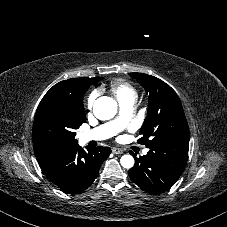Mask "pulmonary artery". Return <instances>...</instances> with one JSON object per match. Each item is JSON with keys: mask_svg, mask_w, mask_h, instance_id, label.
I'll list each match as a JSON object with an SVG mask.
<instances>
[{"mask_svg": "<svg viewBox=\"0 0 227 227\" xmlns=\"http://www.w3.org/2000/svg\"><path fill=\"white\" fill-rule=\"evenodd\" d=\"M120 106L121 113L115 120L101 125L95 129L83 132L80 135V141L82 143H87L93 140H105L120 132L125 127V125H127L131 121L133 117L134 100L125 101L121 103ZM146 153V150L143 151V154Z\"/></svg>", "mask_w": 227, "mask_h": 227, "instance_id": "pulmonary-artery-1", "label": "pulmonary artery"}]
</instances>
